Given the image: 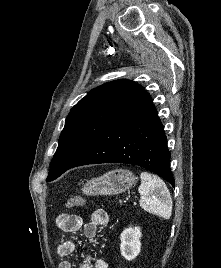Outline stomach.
<instances>
[{"instance_id":"0dacf381","label":"stomach","mask_w":221,"mask_h":268,"mask_svg":"<svg viewBox=\"0 0 221 268\" xmlns=\"http://www.w3.org/2000/svg\"><path fill=\"white\" fill-rule=\"evenodd\" d=\"M135 175L126 169H116L85 183L82 191L86 195H115L129 189L136 181Z\"/></svg>"}]
</instances>
